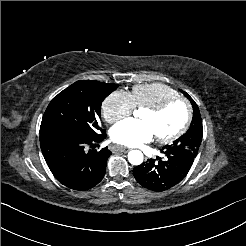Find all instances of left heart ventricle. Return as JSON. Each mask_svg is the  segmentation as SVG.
<instances>
[{
	"label": "left heart ventricle",
	"mask_w": 246,
	"mask_h": 246,
	"mask_svg": "<svg viewBox=\"0 0 246 246\" xmlns=\"http://www.w3.org/2000/svg\"><path fill=\"white\" fill-rule=\"evenodd\" d=\"M185 108L177 102L159 115H152L143 110L139 119L147 123L155 136H167L175 132L183 123Z\"/></svg>",
	"instance_id": "obj_1"
}]
</instances>
